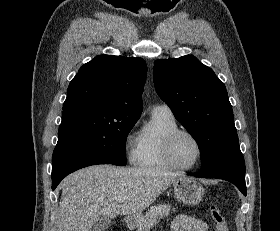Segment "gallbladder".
<instances>
[{"label": "gallbladder", "mask_w": 280, "mask_h": 231, "mask_svg": "<svg viewBox=\"0 0 280 231\" xmlns=\"http://www.w3.org/2000/svg\"><path fill=\"white\" fill-rule=\"evenodd\" d=\"M111 219L108 217H103V215H98L94 221L91 223V231H101V229H107L111 225Z\"/></svg>", "instance_id": "gallbladder-1"}]
</instances>
